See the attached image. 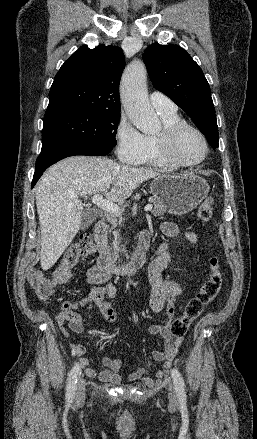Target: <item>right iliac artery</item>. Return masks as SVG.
Wrapping results in <instances>:
<instances>
[{"instance_id": "1", "label": "right iliac artery", "mask_w": 257, "mask_h": 439, "mask_svg": "<svg viewBox=\"0 0 257 439\" xmlns=\"http://www.w3.org/2000/svg\"><path fill=\"white\" fill-rule=\"evenodd\" d=\"M80 365L76 364L70 371L68 381H67V392H66V398L68 401H72L75 395L76 390V383L78 375L80 374Z\"/></svg>"}]
</instances>
